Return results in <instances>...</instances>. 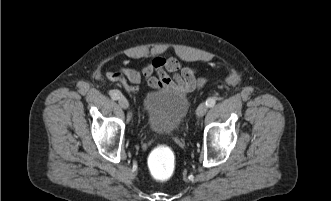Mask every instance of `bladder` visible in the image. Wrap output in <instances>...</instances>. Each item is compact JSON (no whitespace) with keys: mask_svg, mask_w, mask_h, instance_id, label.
Segmentation results:
<instances>
[{"mask_svg":"<svg viewBox=\"0 0 331 201\" xmlns=\"http://www.w3.org/2000/svg\"><path fill=\"white\" fill-rule=\"evenodd\" d=\"M142 105L148 126L157 133L171 134L188 114L190 99L178 90L162 88L147 92Z\"/></svg>","mask_w":331,"mask_h":201,"instance_id":"bladder-1","label":"bladder"}]
</instances>
